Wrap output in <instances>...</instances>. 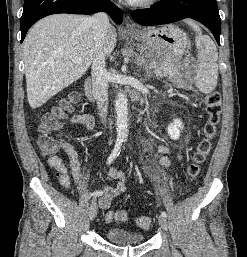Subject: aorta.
Returning a JSON list of instances; mask_svg holds the SVG:
<instances>
[{"mask_svg":"<svg viewBox=\"0 0 247 257\" xmlns=\"http://www.w3.org/2000/svg\"><path fill=\"white\" fill-rule=\"evenodd\" d=\"M115 113L117 138L126 139L128 137V100L123 92L117 94Z\"/></svg>","mask_w":247,"mask_h":257,"instance_id":"aorta-1","label":"aorta"}]
</instances>
